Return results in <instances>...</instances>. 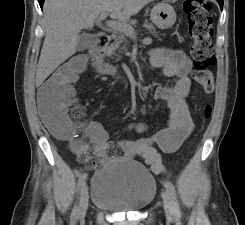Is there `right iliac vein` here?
I'll return each instance as SVG.
<instances>
[{
	"mask_svg": "<svg viewBox=\"0 0 245 225\" xmlns=\"http://www.w3.org/2000/svg\"><path fill=\"white\" fill-rule=\"evenodd\" d=\"M88 204H89L88 186L86 183H84L80 194V202H79V208L77 214L78 219H81L86 215Z\"/></svg>",
	"mask_w": 245,
	"mask_h": 225,
	"instance_id": "obj_1",
	"label": "right iliac vein"
}]
</instances>
